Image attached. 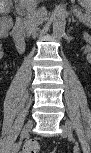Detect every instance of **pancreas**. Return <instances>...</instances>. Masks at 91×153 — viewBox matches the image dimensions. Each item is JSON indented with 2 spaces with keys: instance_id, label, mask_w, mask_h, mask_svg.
Returning <instances> with one entry per match:
<instances>
[{
  "instance_id": "cf45deb5",
  "label": "pancreas",
  "mask_w": 91,
  "mask_h": 153,
  "mask_svg": "<svg viewBox=\"0 0 91 153\" xmlns=\"http://www.w3.org/2000/svg\"><path fill=\"white\" fill-rule=\"evenodd\" d=\"M77 12H80V11H77ZM77 12H76V15H77ZM81 13V12H80ZM79 19L86 25H90V18H89V14H86V15H80L79 16ZM27 27V26H26Z\"/></svg>"
}]
</instances>
